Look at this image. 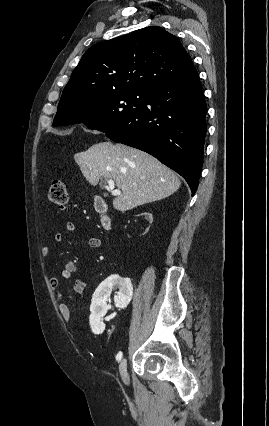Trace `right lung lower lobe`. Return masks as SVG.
<instances>
[{"label":"right lung lower lobe","instance_id":"1","mask_svg":"<svg viewBox=\"0 0 269 426\" xmlns=\"http://www.w3.org/2000/svg\"><path fill=\"white\" fill-rule=\"evenodd\" d=\"M207 106L195 69L147 92L141 110L106 132L179 173L194 195L202 171Z\"/></svg>","mask_w":269,"mask_h":426}]
</instances>
